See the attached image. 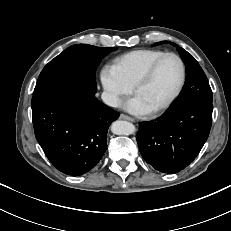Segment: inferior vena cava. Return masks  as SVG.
I'll return each instance as SVG.
<instances>
[{
    "label": "inferior vena cava",
    "mask_w": 231,
    "mask_h": 231,
    "mask_svg": "<svg viewBox=\"0 0 231 231\" xmlns=\"http://www.w3.org/2000/svg\"><path fill=\"white\" fill-rule=\"evenodd\" d=\"M101 98L105 104L111 107H117L119 105V99L111 93L104 92L102 93Z\"/></svg>",
    "instance_id": "obj_1"
}]
</instances>
